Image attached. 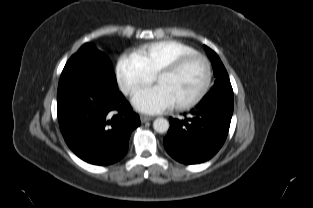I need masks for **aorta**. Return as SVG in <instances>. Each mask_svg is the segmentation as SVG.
<instances>
[{"label":"aorta","mask_w":313,"mask_h":208,"mask_svg":"<svg viewBox=\"0 0 313 208\" xmlns=\"http://www.w3.org/2000/svg\"><path fill=\"white\" fill-rule=\"evenodd\" d=\"M153 128L158 133H165L169 129V122L165 118H157L153 122Z\"/></svg>","instance_id":"aorta-1"}]
</instances>
